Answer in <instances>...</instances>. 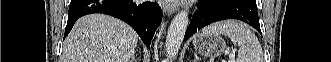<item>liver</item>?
<instances>
[{"label":"liver","mask_w":331,"mask_h":62,"mask_svg":"<svg viewBox=\"0 0 331 62\" xmlns=\"http://www.w3.org/2000/svg\"><path fill=\"white\" fill-rule=\"evenodd\" d=\"M137 43V33L121 20L86 15L66 37L62 62H130Z\"/></svg>","instance_id":"obj_1"}]
</instances>
